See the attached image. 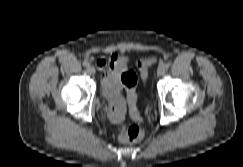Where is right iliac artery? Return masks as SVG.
Masks as SVG:
<instances>
[{
    "mask_svg": "<svg viewBox=\"0 0 243 167\" xmlns=\"http://www.w3.org/2000/svg\"><path fill=\"white\" fill-rule=\"evenodd\" d=\"M89 63L87 61H83V66L87 67Z\"/></svg>",
    "mask_w": 243,
    "mask_h": 167,
    "instance_id": "1",
    "label": "right iliac artery"
}]
</instances>
